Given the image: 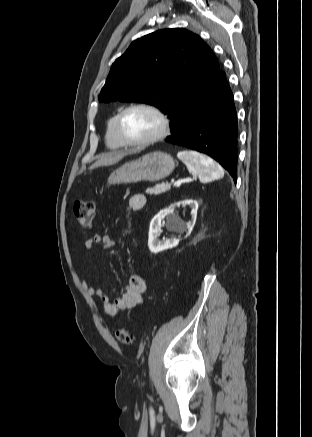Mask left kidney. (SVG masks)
<instances>
[{
	"label": "left kidney",
	"instance_id": "1",
	"mask_svg": "<svg viewBox=\"0 0 312 437\" xmlns=\"http://www.w3.org/2000/svg\"><path fill=\"white\" fill-rule=\"evenodd\" d=\"M189 205L191 207V219L185 223L174 211L176 206ZM198 210V202L196 200L187 199L174 204L168 208L161 210L156 214L150 223L148 246L152 253H158L166 249L176 247L179 244V239L172 237L166 240H160L162 221L167 217L166 227L170 231L182 233L186 230L191 231L195 225Z\"/></svg>",
	"mask_w": 312,
	"mask_h": 437
}]
</instances>
